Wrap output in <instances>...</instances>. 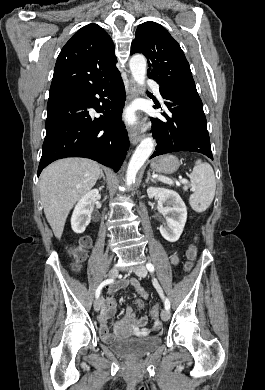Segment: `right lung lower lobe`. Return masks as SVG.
Instances as JSON below:
<instances>
[{
	"label": "right lung lower lobe",
	"mask_w": 265,
	"mask_h": 390,
	"mask_svg": "<svg viewBox=\"0 0 265 390\" xmlns=\"http://www.w3.org/2000/svg\"><path fill=\"white\" fill-rule=\"evenodd\" d=\"M124 102L125 89L118 70L88 88L49 98L38 176L51 162L66 157L90 158L117 172L129 147L121 121ZM89 108L100 117L92 119Z\"/></svg>",
	"instance_id": "obj_1"
}]
</instances>
